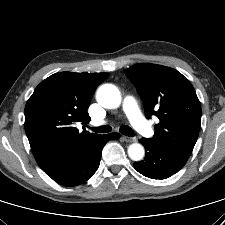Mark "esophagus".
<instances>
[{
    "label": "esophagus",
    "instance_id": "esophagus-1",
    "mask_svg": "<svg viewBox=\"0 0 225 225\" xmlns=\"http://www.w3.org/2000/svg\"><path fill=\"white\" fill-rule=\"evenodd\" d=\"M122 138L124 139V141H126L128 143L136 142V138L135 137L123 136Z\"/></svg>",
    "mask_w": 225,
    "mask_h": 225
}]
</instances>
